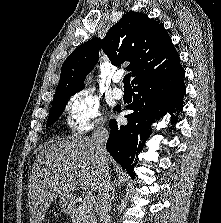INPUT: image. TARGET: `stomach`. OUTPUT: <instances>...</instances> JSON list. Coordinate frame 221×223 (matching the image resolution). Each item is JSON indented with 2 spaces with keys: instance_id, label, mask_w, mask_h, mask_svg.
<instances>
[{
  "instance_id": "1",
  "label": "stomach",
  "mask_w": 221,
  "mask_h": 223,
  "mask_svg": "<svg viewBox=\"0 0 221 223\" xmlns=\"http://www.w3.org/2000/svg\"><path fill=\"white\" fill-rule=\"evenodd\" d=\"M59 203L64 213L71 214L74 211L72 195L67 194V195L61 196Z\"/></svg>"
}]
</instances>
